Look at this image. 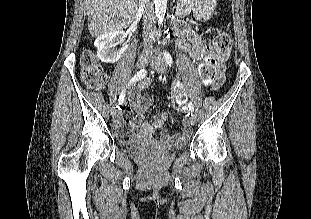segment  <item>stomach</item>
I'll return each mask as SVG.
<instances>
[{
    "mask_svg": "<svg viewBox=\"0 0 311 219\" xmlns=\"http://www.w3.org/2000/svg\"><path fill=\"white\" fill-rule=\"evenodd\" d=\"M195 9L194 14L197 20L206 21L208 20L216 7L217 0H194Z\"/></svg>",
    "mask_w": 311,
    "mask_h": 219,
    "instance_id": "obj_1",
    "label": "stomach"
}]
</instances>
